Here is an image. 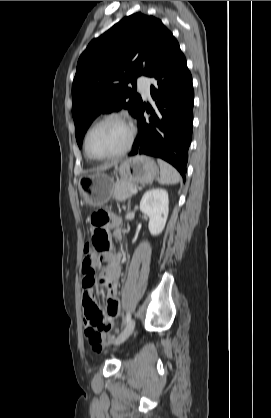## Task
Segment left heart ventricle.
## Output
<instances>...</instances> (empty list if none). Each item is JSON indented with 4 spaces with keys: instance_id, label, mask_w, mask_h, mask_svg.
<instances>
[{
    "instance_id": "1",
    "label": "left heart ventricle",
    "mask_w": 271,
    "mask_h": 418,
    "mask_svg": "<svg viewBox=\"0 0 271 418\" xmlns=\"http://www.w3.org/2000/svg\"><path fill=\"white\" fill-rule=\"evenodd\" d=\"M129 136L128 127L120 121H107L97 126L89 137V150L95 156H105L122 149Z\"/></svg>"
}]
</instances>
